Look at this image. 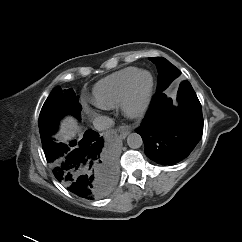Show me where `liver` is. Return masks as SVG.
<instances>
[{"label":"liver","instance_id":"liver-1","mask_svg":"<svg viewBox=\"0 0 242 242\" xmlns=\"http://www.w3.org/2000/svg\"><path fill=\"white\" fill-rule=\"evenodd\" d=\"M80 129L76 121L72 117H66L61 123V129L55 136L58 140L63 142L72 139Z\"/></svg>","mask_w":242,"mask_h":242}]
</instances>
